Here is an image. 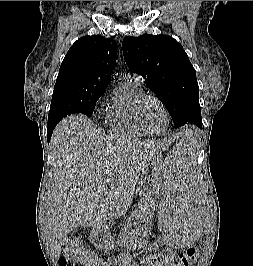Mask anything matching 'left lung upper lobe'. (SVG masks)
Segmentation results:
<instances>
[{"instance_id":"1","label":"left lung upper lobe","mask_w":253,"mask_h":266,"mask_svg":"<svg viewBox=\"0 0 253 266\" xmlns=\"http://www.w3.org/2000/svg\"><path fill=\"white\" fill-rule=\"evenodd\" d=\"M124 59L145 79L177 127L202 125L196 71L182 45L167 35L144 34L122 42Z\"/></svg>"}]
</instances>
